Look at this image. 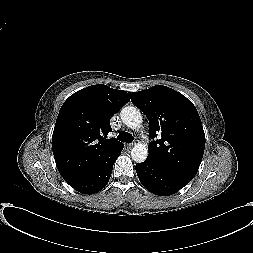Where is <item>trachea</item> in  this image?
<instances>
[{
	"mask_svg": "<svg viewBox=\"0 0 253 253\" xmlns=\"http://www.w3.org/2000/svg\"><path fill=\"white\" fill-rule=\"evenodd\" d=\"M117 139L121 142L131 143L133 141V136L128 132H121Z\"/></svg>",
	"mask_w": 253,
	"mask_h": 253,
	"instance_id": "3493384b",
	"label": "trachea"
}]
</instances>
